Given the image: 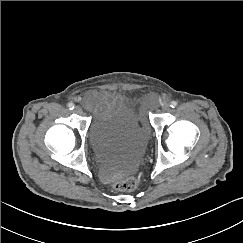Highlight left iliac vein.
Segmentation results:
<instances>
[{
    "mask_svg": "<svg viewBox=\"0 0 243 243\" xmlns=\"http://www.w3.org/2000/svg\"><path fill=\"white\" fill-rule=\"evenodd\" d=\"M162 110L163 111H169L170 110V105L168 103H165L163 106H162Z\"/></svg>",
    "mask_w": 243,
    "mask_h": 243,
    "instance_id": "obj_1",
    "label": "left iliac vein"
}]
</instances>
